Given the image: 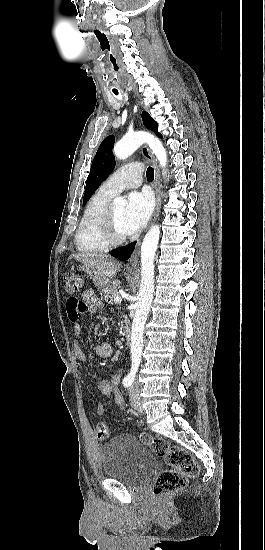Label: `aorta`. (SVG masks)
Returning a JSON list of instances; mask_svg holds the SVG:
<instances>
[{
    "instance_id": "aorta-1",
    "label": "aorta",
    "mask_w": 265,
    "mask_h": 550,
    "mask_svg": "<svg viewBox=\"0 0 265 550\" xmlns=\"http://www.w3.org/2000/svg\"><path fill=\"white\" fill-rule=\"evenodd\" d=\"M143 143H147L156 155L163 174L167 165V152L159 139L154 136L135 132L127 134L114 146V154L119 159H126L132 155ZM115 205H124L125 200L118 197L114 200ZM160 238V226L154 225L145 235L141 245V282L138 295V302L131 330V371H137L143 348L144 325L151 307L154 293V257Z\"/></svg>"
}]
</instances>
